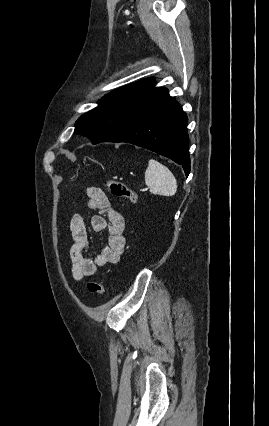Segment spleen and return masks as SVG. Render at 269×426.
Segmentation results:
<instances>
[{"label":"spleen","mask_w":269,"mask_h":426,"mask_svg":"<svg viewBox=\"0 0 269 426\" xmlns=\"http://www.w3.org/2000/svg\"><path fill=\"white\" fill-rule=\"evenodd\" d=\"M145 183L153 194L173 196L177 191V182L172 172L154 159L148 162Z\"/></svg>","instance_id":"1"}]
</instances>
